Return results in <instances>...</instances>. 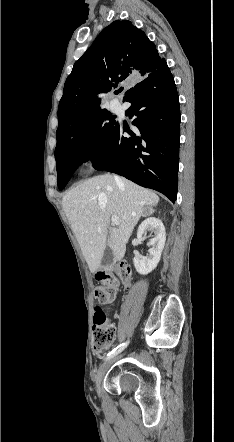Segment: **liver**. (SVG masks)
Wrapping results in <instances>:
<instances>
[{
	"label": "liver",
	"instance_id": "6515ba94",
	"mask_svg": "<svg viewBox=\"0 0 234 442\" xmlns=\"http://www.w3.org/2000/svg\"><path fill=\"white\" fill-rule=\"evenodd\" d=\"M158 202L154 192L127 179L117 182L109 174L90 178L65 194L62 207L92 273L99 267L107 245L115 261L123 259L145 206ZM113 215L119 218L118 228L109 226Z\"/></svg>",
	"mask_w": 234,
	"mask_h": 442
}]
</instances>
